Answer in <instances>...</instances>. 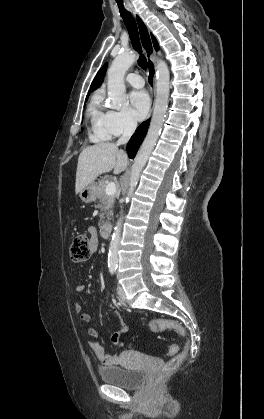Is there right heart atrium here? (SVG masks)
Instances as JSON below:
<instances>
[{
    "instance_id": "right-heart-atrium-1",
    "label": "right heart atrium",
    "mask_w": 264,
    "mask_h": 419,
    "mask_svg": "<svg viewBox=\"0 0 264 419\" xmlns=\"http://www.w3.org/2000/svg\"><path fill=\"white\" fill-rule=\"evenodd\" d=\"M137 122L128 109L111 110L108 115V127L112 136H120L135 130Z\"/></svg>"
}]
</instances>
